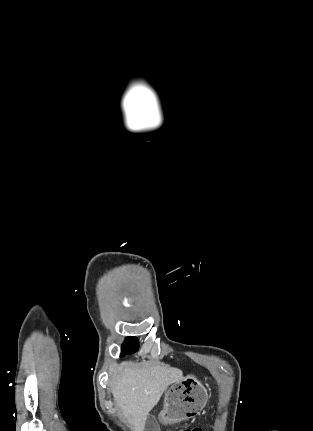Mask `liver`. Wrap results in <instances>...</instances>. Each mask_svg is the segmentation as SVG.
I'll return each mask as SVG.
<instances>
[{
  "label": "liver",
  "instance_id": "6515ba94",
  "mask_svg": "<svg viewBox=\"0 0 313 431\" xmlns=\"http://www.w3.org/2000/svg\"><path fill=\"white\" fill-rule=\"evenodd\" d=\"M115 402L134 431H143L149 412L169 385L183 380L180 369L154 365L132 368L122 363L110 368Z\"/></svg>",
  "mask_w": 313,
  "mask_h": 431
}]
</instances>
